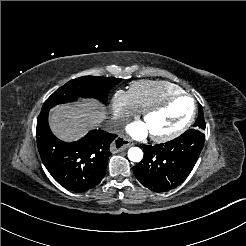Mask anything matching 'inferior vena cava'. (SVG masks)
<instances>
[{
  "label": "inferior vena cava",
  "instance_id": "inferior-vena-cava-1",
  "mask_svg": "<svg viewBox=\"0 0 246 246\" xmlns=\"http://www.w3.org/2000/svg\"><path fill=\"white\" fill-rule=\"evenodd\" d=\"M114 126H115V124H113V123L109 124V126H108V130H109L110 132H112V133L117 132L115 129H113Z\"/></svg>",
  "mask_w": 246,
  "mask_h": 246
}]
</instances>
